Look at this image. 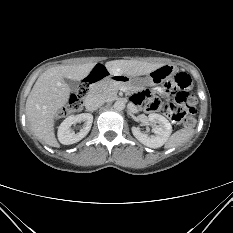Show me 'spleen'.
Returning a JSON list of instances; mask_svg holds the SVG:
<instances>
[{"label":"spleen","instance_id":"obj_1","mask_svg":"<svg viewBox=\"0 0 233 233\" xmlns=\"http://www.w3.org/2000/svg\"><path fill=\"white\" fill-rule=\"evenodd\" d=\"M193 129L184 128L176 131L167 141L166 148L178 147L189 141L193 136Z\"/></svg>","mask_w":233,"mask_h":233}]
</instances>
